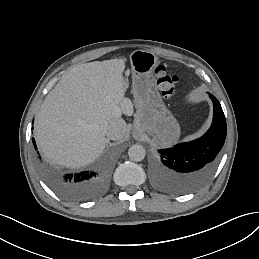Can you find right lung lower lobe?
I'll list each match as a JSON object with an SVG mask.
<instances>
[{
    "label": "right lung lower lobe",
    "instance_id": "obj_1",
    "mask_svg": "<svg viewBox=\"0 0 259 259\" xmlns=\"http://www.w3.org/2000/svg\"><path fill=\"white\" fill-rule=\"evenodd\" d=\"M33 129V128H32ZM35 149L37 146L32 138ZM49 183L63 196L73 200H86L100 194L107 183V175L97 171L58 174L42 169Z\"/></svg>",
    "mask_w": 259,
    "mask_h": 259
}]
</instances>
